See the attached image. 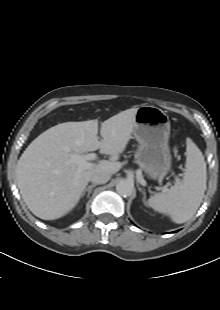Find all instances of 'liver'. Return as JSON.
<instances>
[{
  "label": "liver",
  "instance_id": "6515ba94",
  "mask_svg": "<svg viewBox=\"0 0 220 310\" xmlns=\"http://www.w3.org/2000/svg\"><path fill=\"white\" fill-rule=\"evenodd\" d=\"M137 109H127L102 122V140L97 136V120L61 123L34 139L16 167L17 186L29 210L44 220L61 218L77 205L93 174L118 172L120 162L102 160L80 168L71 159L97 149L117 158L131 138Z\"/></svg>",
  "mask_w": 220,
  "mask_h": 310
}]
</instances>
